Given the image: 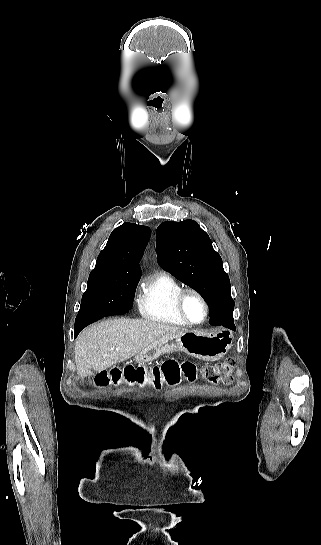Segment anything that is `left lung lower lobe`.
<instances>
[{"label":"left lung lower lobe","mask_w":321,"mask_h":545,"mask_svg":"<svg viewBox=\"0 0 321 545\" xmlns=\"http://www.w3.org/2000/svg\"><path fill=\"white\" fill-rule=\"evenodd\" d=\"M210 324L215 326L222 325L235 330L233 316L225 315L217 311L210 310Z\"/></svg>","instance_id":"obj_1"}]
</instances>
